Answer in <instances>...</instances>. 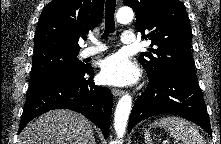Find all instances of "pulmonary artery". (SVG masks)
Wrapping results in <instances>:
<instances>
[{
  "label": "pulmonary artery",
  "instance_id": "1",
  "mask_svg": "<svg viewBox=\"0 0 221 144\" xmlns=\"http://www.w3.org/2000/svg\"><path fill=\"white\" fill-rule=\"evenodd\" d=\"M121 40L124 44H134L136 42V37L133 32L125 31L122 34ZM91 41L95 45L87 47L81 52V56L84 58L94 56L106 50V46L98 42L96 39L92 38Z\"/></svg>",
  "mask_w": 221,
  "mask_h": 144
}]
</instances>
